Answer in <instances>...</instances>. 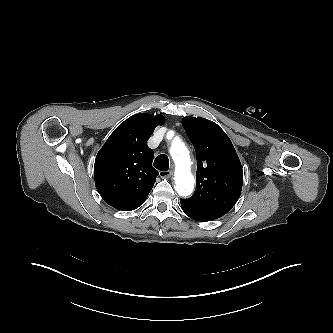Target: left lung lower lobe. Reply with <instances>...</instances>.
Here are the masks:
<instances>
[{
    "label": "left lung lower lobe",
    "mask_w": 333,
    "mask_h": 333,
    "mask_svg": "<svg viewBox=\"0 0 333 333\" xmlns=\"http://www.w3.org/2000/svg\"><path fill=\"white\" fill-rule=\"evenodd\" d=\"M180 202H181V207H182L183 211L185 212V214L194 220H197L200 222H203V221L206 222V221H212V220H215V219L221 217L208 210H205V209L199 208L197 206L183 202L181 199H180Z\"/></svg>",
    "instance_id": "obj_1"
}]
</instances>
